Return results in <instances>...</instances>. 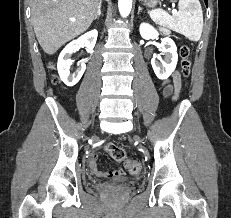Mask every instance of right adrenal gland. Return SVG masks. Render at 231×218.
Instances as JSON below:
<instances>
[{
  "mask_svg": "<svg viewBox=\"0 0 231 218\" xmlns=\"http://www.w3.org/2000/svg\"><path fill=\"white\" fill-rule=\"evenodd\" d=\"M100 15H101V0H100V3H99V8H98L97 15L95 16L94 20H96L98 17H100Z\"/></svg>",
  "mask_w": 231,
  "mask_h": 218,
  "instance_id": "2a0ac1e0",
  "label": "right adrenal gland"
}]
</instances>
